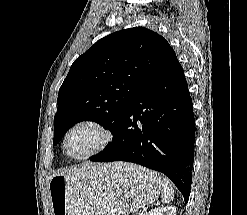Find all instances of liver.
<instances>
[{
    "instance_id": "6515ba94",
    "label": "liver",
    "mask_w": 247,
    "mask_h": 215,
    "mask_svg": "<svg viewBox=\"0 0 247 215\" xmlns=\"http://www.w3.org/2000/svg\"><path fill=\"white\" fill-rule=\"evenodd\" d=\"M98 166H101L100 164H97ZM92 166H96V164L93 163H86L80 167H73L70 168L68 170L62 171V172H58L55 175H67V176H72L75 175L77 173H83L84 171H86L87 169L91 168Z\"/></svg>"
}]
</instances>
